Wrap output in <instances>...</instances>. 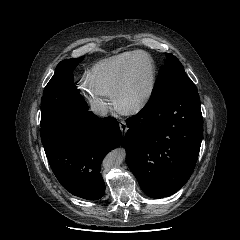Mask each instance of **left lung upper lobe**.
I'll list each match as a JSON object with an SVG mask.
<instances>
[{"instance_id": "5c2ea615", "label": "left lung upper lobe", "mask_w": 240, "mask_h": 240, "mask_svg": "<svg viewBox=\"0 0 240 240\" xmlns=\"http://www.w3.org/2000/svg\"><path fill=\"white\" fill-rule=\"evenodd\" d=\"M166 55L167 60L156 79L150 100L174 91L197 92V87L186 75L180 61L171 53H167Z\"/></svg>"}]
</instances>
